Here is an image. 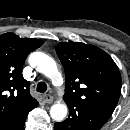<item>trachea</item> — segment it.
<instances>
[{
    "mask_svg": "<svg viewBox=\"0 0 130 130\" xmlns=\"http://www.w3.org/2000/svg\"><path fill=\"white\" fill-rule=\"evenodd\" d=\"M47 90V85L44 82H39L37 84V92L39 93H45Z\"/></svg>",
    "mask_w": 130,
    "mask_h": 130,
    "instance_id": "1",
    "label": "trachea"
}]
</instances>
